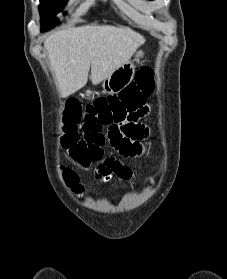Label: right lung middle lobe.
I'll return each mask as SVG.
<instances>
[{
    "mask_svg": "<svg viewBox=\"0 0 227 279\" xmlns=\"http://www.w3.org/2000/svg\"><path fill=\"white\" fill-rule=\"evenodd\" d=\"M68 0H40L41 31L53 28L58 23L56 14L61 11Z\"/></svg>",
    "mask_w": 227,
    "mask_h": 279,
    "instance_id": "dd1d6c3e",
    "label": "right lung middle lobe"
}]
</instances>
